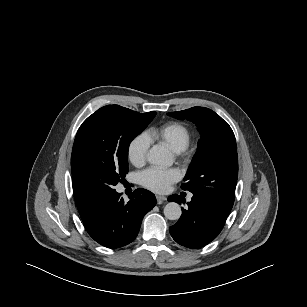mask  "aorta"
I'll return each mask as SVG.
<instances>
[{
  "mask_svg": "<svg viewBox=\"0 0 307 307\" xmlns=\"http://www.w3.org/2000/svg\"><path fill=\"white\" fill-rule=\"evenodd\" d=\"M147 160L153 165L169 166L172 164V160L167 150L162 146L152 147L148 152ZM181 214V207L176 202H169L164 207V215L169 220H178L181 217Z\"/></svg>",
  "mask_w": 307,
  "mask_h": 307,
  "instance_id": "1",
  "label": "aorta"
}]
</instances>
